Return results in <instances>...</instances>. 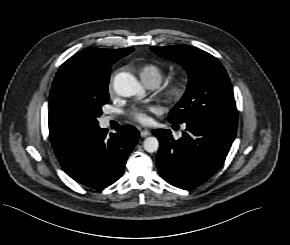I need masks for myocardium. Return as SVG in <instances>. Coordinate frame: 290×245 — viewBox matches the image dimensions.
<instances>
[{
  "label": "myocardium",
  "mask_w": 290,
  "mask_h": 245,
  "mask_svg": "<svg viewBox=\"0 0 290 245\" xmlns=\"http://www.w3.org/2000/svg\"><path fill=\"white\" fill-rule=\"evenodd\" d=\"M186 91V81L184 78L174 79L164 90V97L169 101L179 100Z\"/></svg>",
  "instance_id": "f54148a6"
}]
</instances>
